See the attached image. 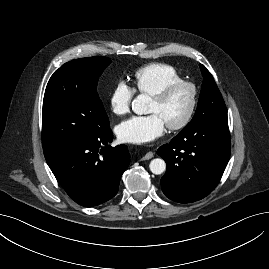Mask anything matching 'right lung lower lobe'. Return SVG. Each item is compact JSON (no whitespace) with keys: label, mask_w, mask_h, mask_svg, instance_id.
Masks as SVG:
<instances>
[{"label":"right lung lower lobe","mask_w":269,"mask_h":269,"mask_svg":"<svg viewBox=\"0 0 269 269\" xmlns=\"http://www.w3.org/2000/svg\"><path fill=\"white\" fill-rule=\"evenodd\" d=\"M112 140L108 128L99 136L44 152L57 181L76 203L97 206L117 194L130 155L126 145H108Z\"/></svg>","instance_id":"98d812e1"}]
</instances>
